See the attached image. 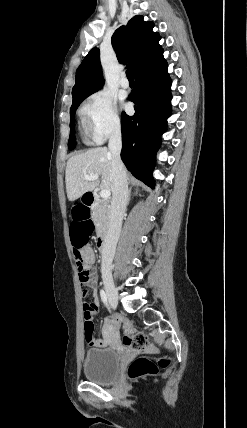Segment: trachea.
Returning a JSON list of instances; mask_svg holds the SVG:
<instances>
[{"label": "trachea", "mask_w": 247, "mask_h": 428, "mask_svg": "<svg viewBox=\"0 0 247 428\" xmlns=\"http://www.w3.org/2000/svg\"><path fill=\"white\" fill-rule=\"evenodd\" d=\"M126 75H127V78L129 80H133V74H132V71L130 69H127Z\"/></svg>", "instance_id": "3493384b"}]
</instances>
